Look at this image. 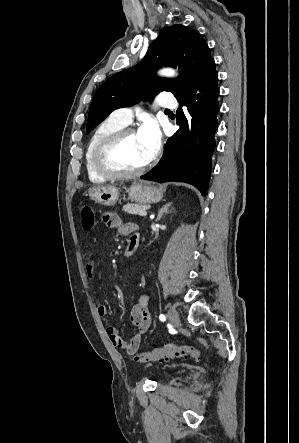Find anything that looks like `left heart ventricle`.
Instances as JSON below:
<instances>
[{
    "label": "left heart ventricle",
    "mask_w": 299,
    "mask_h": 443,
    "mask_svg": "<svg viewBox=\"0 0 299 443\" xmlns=\"http://www.w3.org/2000/svg\"><path fill=\"white\" fill-rule=\"evenodd\" d=\"M112 165L123 171L134 170L147 162L143 144L138 134L127 136L110 155Z\"/></svg>",
    "instance_id": "1"
}]
</instances>
